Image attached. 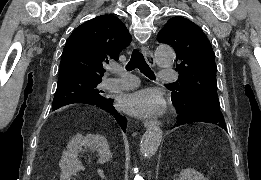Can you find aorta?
Wrapping results in <instances>:
<instances>
[{"label": "aorta", "instance_id": "obj_1", "mask_svg": "<svg viewBox=\"0 0 261 180\" xmlns=\"http://www.w3.org/2000/svg\"><path fill=\"white\" fill-rule=\"evenodd\" d=\"M174 50L167 45H160L155 50L154 61L161 68L170 67L175 60ZM162 130L158 126L149 128L141 138L140 151L143 157L150 158L158 150L162 140Z\"/></svg>", "mask_w": 261, "mask_h": 180}]
</instances>
